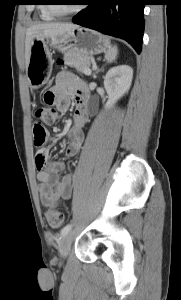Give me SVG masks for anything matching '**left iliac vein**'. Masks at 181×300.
Listing matches in <instances>:
<instances>
[{
  "instance_id": "4c4485c4",
  "label": "left iliac vein",
  "mask_w": 181,
  "mask_h": 300,
  "mask_svg": "<svg viewBox=\"0 0 181 300\" xmlns=\"http://www.w3.org/2000/svg\"><path fill=\"white\" fill-rule=\"evenodd\" d=\"M73 234L69 232L66 236H64L63 240L60 243L59 252L61 257L66 258L71 249Z\"/></svg>"
}]
</instances>
